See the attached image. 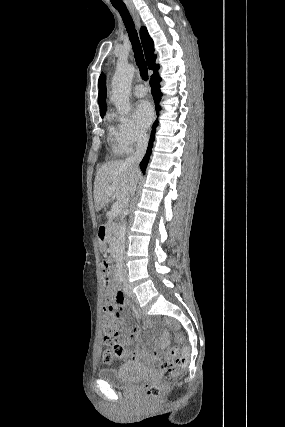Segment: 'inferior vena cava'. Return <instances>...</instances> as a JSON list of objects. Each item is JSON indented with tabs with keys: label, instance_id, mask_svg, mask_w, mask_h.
Wrapping results in <instances>:
<instances>
[{
	"label": "inferior vena cava",
	"instance_id": "1",
	"mask_svg": "<svg viewBox=\"0 0 285 427\" xmlns=\"http://www.w3.org/2000/svg\"><path fill=\"white\" fill-rule=\"evenodd\" d=\"M147 146H148L147 134H140L137 141L136 152L125 160V162L129 164L131 168L137 173H140L139 163L141 162V160L143 159L146 153ZM135 188L136 186L134 187V191H135Z\"/></svg>",
	"mask_w": 285,
	"mask_h": 427
}]
</instances>
